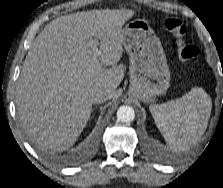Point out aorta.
<instances>
[{"label": "aorta", "instance_id": "aorta-1", "mask_svg": "<svg viewBox=\"0 0 223 188\" xmlns=\"http://www.w3.org/2000/svg\"><path fill=\"white\" fill-rule=\"evenodd\" d=\"M134 109L130 106H121L117 110V119L124 123H130L134 120Z\"/></svg>", "mask_w": 223, "mask_h": 188}]
</instances>
